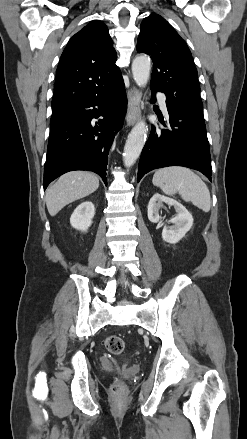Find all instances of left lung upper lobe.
I'll return each instance as SVG.
<instances>
[{
    "label": "left lung upper lobe",
    "instance_id": "1",
    "mask_svg": "<svg viewBox=\"0 0 247 439\" xmlns=\"http://www.w3.org/2000/svg\"><path fill=\"white\" fill-rule=\"evenodd\" d=\"M137 51L151 56V88L163 92L174 107L203 115L200 85L191 52L174 28L155 13L140 26Z\"/></svg>",
    "mask_w": 247,
    "mask_h": 439
}]
</instances>
